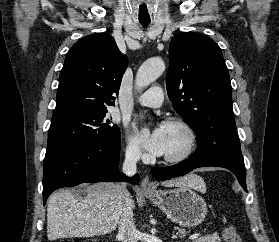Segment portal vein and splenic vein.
Wrapping results in <instances>:
<instances>
[{
    "mask_svg": "<svg viewBox=\"0 0 279 242\" xmlns=\"http://www.w3.org/2000/svg\"><path fill=\"white\" fill-rule=\"evenodd\" d=\"M199 233H194V234H192L190 237H189V239H196V238H198L199 237Z\"/></svg>",
    "mask_w": 279,
    "mask_h": 242,
    "instance_id": "18ae733b",
    "label": "portal vein and splenic vein"
}]
</instances>
